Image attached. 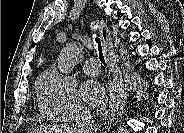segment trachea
<instances>
[{"label": "trachea", "mask_w": 184, "mask_h": 133, "mask_svg": "<svg viewBox=\"0 0 184 133\" xmlns=\"http://www.w3.org/2000/svg\"><path fill=\"white\" fill-rule=\"evenodd\" d=\"M95 41H96V44L98 46V51H99V59L101 61L102 64L106 65L105 63V59H104V55H103V52H102V46H101V42L99 40V38H95Z\"/></svg>", "instance_id": "3493384b"}]
</instances>
